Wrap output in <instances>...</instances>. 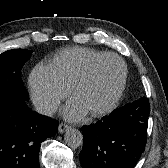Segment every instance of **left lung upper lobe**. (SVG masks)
I'll return each mask as SVG.
<instances>
[{
    "label": "left lung upper lobe",
    "mask_w": 168,
    "mask_h": 168,
    "mask_svg": "<svg viewBox=\"0 0 168 168\" xmlns=\"http://www.w3.org/2000/svg\"><path fill=\"white\" fill-rule=\"evenodd\" d=\"M136 101H139V102H143V101L149 102L146 97H143V98H141V99H139V100H136Z\"/></svg>",
    "instance_id": "1"
}]
</instances>
